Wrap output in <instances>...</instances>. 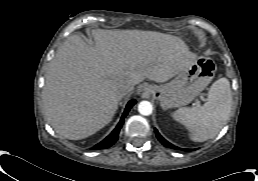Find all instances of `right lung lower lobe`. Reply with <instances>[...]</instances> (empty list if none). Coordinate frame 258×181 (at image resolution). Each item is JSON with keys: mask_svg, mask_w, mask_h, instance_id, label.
<instances>
[{"mask_svg": "<svg viewBox=\"0 0 258 181\" xmlns=\"http://www.w3.org/2000/svg\"><path fill=\"white\" fill-rule=\"evenodd\" d=\"M136 103L135 100H131L130 102H128L125 111L121 117L120 122L118 123V125L116 126V128L112 131V133L105 138L102 142L98 143L97 145H95L93 147V149H106L111 147L118 139V134L120 131V128L122 127L123 123H124V118L126 117V115L128 114V112L130 111L131 107Z\"/></svg>", "mask_w": 258, "mask_h": 181, "instance_id": "1", "label": "right lung lower lobe"}]
</instances>
